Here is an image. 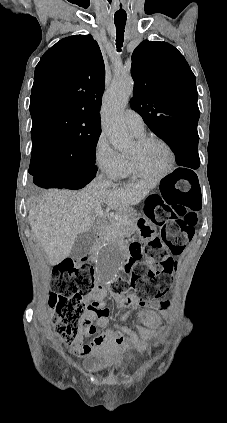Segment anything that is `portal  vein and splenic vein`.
Returning a JSON list of instances; mask_svg holds the SVG:
<instances>
[{
  "label": "portal vein and splenic vein",
  "mask_w": 227,
  "mask_h": 423,
  "mask_svg": "<svg viewBox=\"0 0 227 423\" xmlns=\"http://www.w3.org/2000/svg\"><path fill=\"white\" fill-rule=\"evenodd\" d=\"M99 215V217H112V219H119V221H127V219H124L123 215H119V213H114V211H103L102 214H96Z\"/></svg>",
  "instance_id": "1"
}]
</instances>
